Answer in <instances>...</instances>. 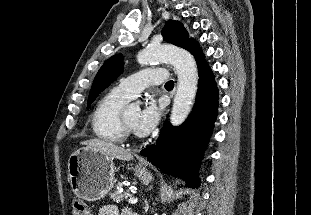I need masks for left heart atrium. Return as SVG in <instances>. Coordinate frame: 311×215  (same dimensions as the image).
<instances>
[{
    "mask_svg": "<svg viewBox=\"0 0 311 215\" xmlns=\"http://www.w3.org/2000/svg\"><path fill=\"white\" fill-rule=\"evenodd\" d=\"M160 106L155 101H149L134 123V131L138 136L144 137L152 132L156 127L160 117Z\"/></svg>",
    "mask_w": 311,
    "mask_h": 215,
    "instance_id": "39dd6f15",
    "label": "left heart atrium"
}]
</instances>
